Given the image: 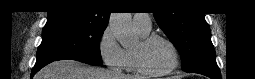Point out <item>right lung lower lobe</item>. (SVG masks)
Returning a JSON list of instances; mask_svg holds the SVG:
<instances>
[{
	"mask_svg": "<svg viewBox=\"0 0 255 79\" xmlns=\"http://www.w3.org/2000/svg\"><path fill=\"white\" fill-rule=\"evenodd\" d=\"M53 61H57V60H51V61H46V62H43V63H40V64H35L34 68L32 69V73H31V78L35 75V73L37 71H39L42 67H44L45 65L53 62Z\"/></svg>",
	"mask_w": 255,
	"mask_h": 79,
	"instance_id": "obj_1",
	"label": "right lung lower lobe"
}]
</instances>
